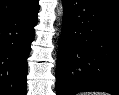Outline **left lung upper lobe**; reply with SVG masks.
Wrapping results in <instances>:
<instances>
[{
	"label": "left lung upper lobe",
	"mask_w": 119,
	"mask_h": 95,
	"mask_svg": "<svg viewBox=\"0 0 119 95\" xmlns=\"http://www.w3.org/2000/svg\"><path fill=\"white\" fill-rule=\"evenodd\" d=\"M99 1L119 6V0H99Z\"/></svg>",
	"instance_id": "left-lung-upper-lobe-1"
}]
</instances>
